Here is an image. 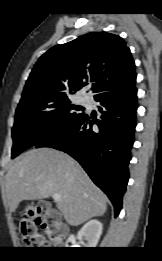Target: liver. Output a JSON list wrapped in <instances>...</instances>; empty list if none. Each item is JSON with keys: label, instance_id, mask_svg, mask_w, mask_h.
Returning a JSON list of instances; mask_svg holds the SVG:
<instances>
[{"label": "liver", "instance_id": "obj_1", "mask_svg": "<svg viewBox=\"0 0 162 261\" xmlns=\"http://www.w3.org/2000/svg\"><path fill=\"white\" fill-rule=\"evenodd\" d=\"M10 212L23 200L58 193L57 208L69 225L78 226L107 209V197L70 156L50 148L32 149L15 160L6 175Z\"/></svg>", "mask_w": 162, "mask_h": 261}]
</instances>
